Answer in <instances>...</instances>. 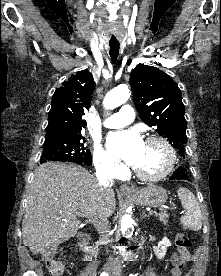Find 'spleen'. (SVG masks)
<instances>
[{"label":"spleen","mask_w":221,"mask_h":276,"mask_svg":"<svg viewBox=\"0 0 221 276\" xmlns=\"http://www.w3.org/2000/svg\"><path fill=\"white\" fill-rule=\"evenodd\" d=\"M177 194L186 211L180 218L181 224L186 229L199 231L202 228V213L195 195L184 187L177 189Z\"/></svg>","instance_id":"1"}]
</instances>
